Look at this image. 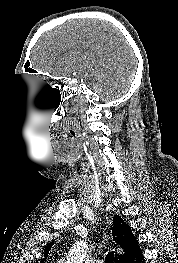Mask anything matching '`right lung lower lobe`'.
Masks as SVG:
<instances>
[{"mask_svg": "<svg viewBox=\"0 0 178 263\" xmlns=\"http://www.w3.org/2000/svg\"><path fill=\"white\" fill-rule=\"evenodd\" d=\"M126 263H145L142 251L140 250L131 259H129Z\"/></svg>", "mask_w": 178, "mask_h": 263, "instance_id": "right-lung-lower-lobe-1", "label": "right lung lower lobe"}]
</instances>
